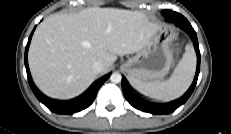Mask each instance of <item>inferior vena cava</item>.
<instances>
[{"mask_svg": "<svg viewBox=\"0 0 231 134\" xmlns=\"http://www.w3.org/2000/svg\"><path fill=\"white\" fill-rule=\"evenodd\" d=\"M92 69L95 73H100L103 71L104 69V64L101 61H96L93 63L92 65Z\"/></svg>", "mask_w": 231, "mask_h": 134, "instance_id": "obj_1", "label": "inferior vena cava"}]
</instances>
